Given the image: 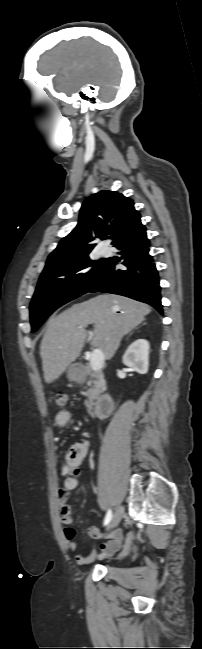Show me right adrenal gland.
I'll use <instances>...</instances> for the list:
<instances>
[{"label":"right adrenal gland","instance_id":"1","mask_svg":"<svg viewBox=\"0 0 202 649\" xmlns=\"http://www.w3.org/2000/svg\"><path fill=\"white\" fill-rule=\"evenodd\" d=\"M144 324H145V323H143V325H144ZM132 333H133V332H131V333H130V334L128 335V337H129V336H131V335H132Z\"/></svg>","mask_w":202,"mask_h":649}]
</instances>
